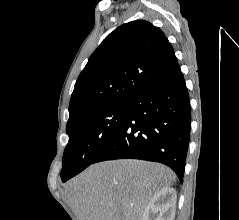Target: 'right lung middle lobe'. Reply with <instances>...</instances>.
<instances>
[{
    "mask_svg": "<svg viewBox=\"0 0 239 220\" xmlns=\"http://www.w3.org/2000/svg\"><path fill=\"white\" fill-rule=\"evenodd\" d=\"M128 103L90 112L67 125L69 142L63 154V182L90 164L114 136L127 116Z\"/></svg>",
    "mask_w": 239,
    "mask_h": 220,
    "instance_id": "right-lung-middle-lobe-1",
    "label": "right lung middle lobe"
}]
</instances>
